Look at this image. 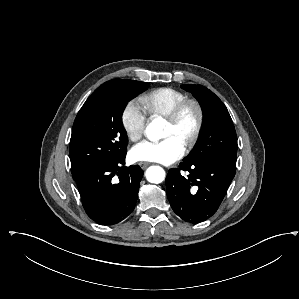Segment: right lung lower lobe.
<instances>
[{"label":"right lung lower lobe","mask_w":299,"mask_h":299,"mask_svg":"<svg viewBox=\"0 0 299 299\" xmlns=\"http://www.w3.org/2000/svg\"><path fill=\"white\" fill-rule=\"evenodd\" d=\"M125 156L126 153L75 180L86 213L99 224H116L135 207L143 171L139 166L121 167ZM114 176H118L117 180Z\"/></svg>","instance_id":"right-lung-lower-lobe-1"}]
</instances>
